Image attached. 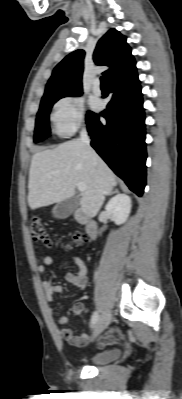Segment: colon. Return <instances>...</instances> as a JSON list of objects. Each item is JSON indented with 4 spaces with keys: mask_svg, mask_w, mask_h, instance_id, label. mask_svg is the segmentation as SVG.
I'll list each match as a JSON object with an SVG mask.
<instances>
[{
    "mask_svg": "<svg viewBox=\"0 0 182 399\" xmlns=\"http://www.w3.org/2000/svg\"><path fill=\"white\" fill-rule=\"evenodd\" d=\"M30 234L31 237L35 240L38 241L46 246H51L52 242L49 238V235L47 233L46 227L43 223V221L35 217L32 219L30 223ZM87 242L86 235L81 234V233H75L72 234L68 237V245H85Z\"/></svg>",
    "mask_w": 182,
    "mask_h": 399,
    "instance_id": "5ec220e1",
    "label": "colon"
}]
</instances>
